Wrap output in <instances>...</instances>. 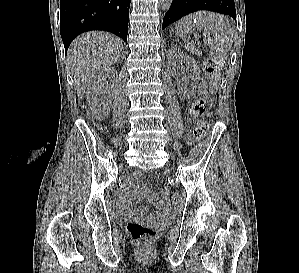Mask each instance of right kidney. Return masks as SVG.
Instances as JSON below:
<instances>
[{
	"mask_svg": "<svg viewBox=\"0 0 299 273\" xmlns=\"http://www.w3.org/2000/svg\"><path fill=\"white\" fill-rule=\"evenodd\" d=\"M117 71L114 68H103L95 73L87 85V102L91 113L97 119H104L110 111L113 93L114 82L108 84L107 78L115 79Z\"/></svg>",
	"mask_w": 299,
	"mask_h": 273,
	"instance_id": "ca27d5eb",
	"label": "right kidney"
}]
</instances>
